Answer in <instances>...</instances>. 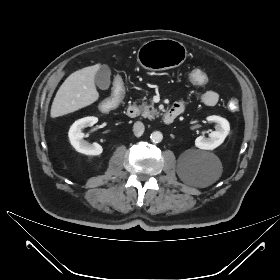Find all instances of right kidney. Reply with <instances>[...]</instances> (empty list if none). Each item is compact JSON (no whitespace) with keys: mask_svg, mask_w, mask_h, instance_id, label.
<instances>
[{"mask_svg":"<svg viewBox=\"0 0 280 280\" xmlns=\"http://www.w3.org/2000/svg\"><path fill=\"white\" fill-rule=\"evenodd\" d=\"M97 122V117H85L75 121L70 127L68 136L71 145L76 149V151L85 155H100L103 152L102 146L98 143L90 144L83 140L84 133L82 130L86 127L93 126Z\"/></svg>","mask_w":280,"mask_h":280,"instance_id":"ca27d5eb","label":"right kidney"}]
</instances>
